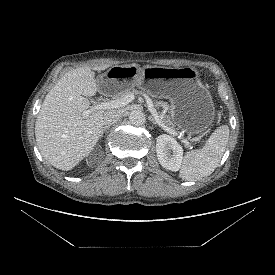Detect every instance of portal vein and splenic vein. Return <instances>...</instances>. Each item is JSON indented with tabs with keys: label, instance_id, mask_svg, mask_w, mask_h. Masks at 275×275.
<instances>
[{
	"label": "portal vein and splenic vein",
	"instance_id": "1",
	"mask_svg": "<svg viewBox=\"0 0 275 275\" xmlns=\"http://www.w3.org/2000/svg\"><path fill=\"white\" fill-rule=\"evenodd\" d=\"M134 94L135 93H130V94H127L125 97H123L121 99L101 102L97 105H94V106L90 107L88 110H85L82 113V116L83 117H88L92 112L97 111V110H104V109H111V108H121L123 106H126L127 104H129L130 102H132L135 99ZM143 96L145 97V100H146V103H147V106H148V110L151 112V114L154 117V119L156 120L157 124L163 130H165L167 133H170L173 136H177V138H179L184 143V145L186 147H189L190 144H189L187 139L183 138L173 128L168 127L167 125H165V123L162 121V119L158 116V113H157L156 109L154 108L152 100L146 94H144Z\"/></svg>",
	"mask_w": 275,
	"mask_h": 275
}]
</instances>
